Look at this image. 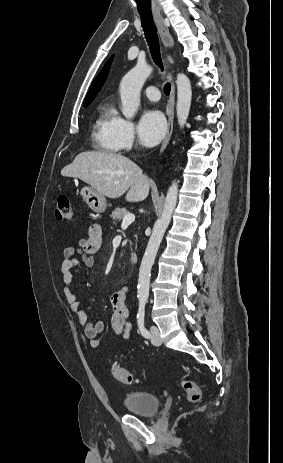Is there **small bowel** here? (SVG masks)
Instances as JSON below:
<instances>
[{
	"label": "small bowel",
	"instance_id": "1",
	"mask_svg": "<svg viewBox=\"0 0 283 463\" xmlns=\"http://www.w3.org/2000/svg\"><path fill=\"white\" fill-rule=\"evenodd\" d=\"M102 244V228L98 223H93L88 228L87 236L80 239L74 246L66 247L63 251L64 261L62 263L63 293L69 305V309L83 327L85 336L89 339L92 348H99L101 341L99 336L105 331V324L99 320H90L87 311L73 292V270L79 261L91 268L95 264L94 255L99 251ZM127 288L122 287L112 293L110 303L112 314L110 317L111 330L128 339L132 330L131 311L126 304Z\"/></svg>",
	"mask_w": 283,
	"mask_h": 463
}]
</instances>
